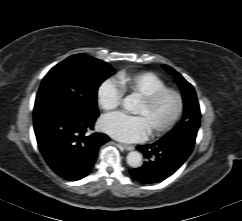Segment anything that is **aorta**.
Instances as JSON below:
<instances>
[{"mask_svg": "<svg viewBox=\"0 0 242 221\" xmlns=\"http://www.w3.org/2000/svg\"><path fill=\"white\" fill-rule=\"evenodd\" d=\"M136 100L132 96H127L123 100V106L126 110H132ZM127 163L132 168H139L142 165V155L137 151L128 153L126 157Z\"/></svg>", "mask_w": 242, "mask_h": 221, "instance_id": "1", "label": "aorta"}]
</instances>
